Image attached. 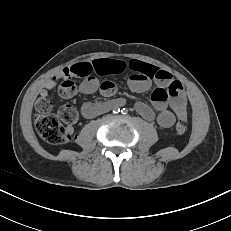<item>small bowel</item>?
<instances>
[{
  "mask_svg": "<svg viewBox=\"0 0 231 231\" xmlns=\"http://www.w3.org/2000/svg\"><path fill=\"white\" fill-rule=\"evenodd\" d=\"M130 70L128 86L135 92H145L152 85L154 88L151 93V105L138 102L136 110L147 120L156 121L162 128H170L174 125L177 118H187L186 93L182 84L174 79L172 75L154 65L131 60L126 63L115 59H96L77 63L69 68L59 71L56 75L48 79L39 91L36 101V109L39 104L47 100L49 91L58 83L59 79L76 75L83 77L79 90L83 94H92L99 90L104 96H112L116 92V85L111 81L100 82L99 76L119 74ZM113 103V105H109ZM86 102L81 107V114L85 118H93L106 111L114 105H120L121 100L112 102ZM71 132L72 128L68 127Z\"/></svg>",
  "mask_w": 231,
  "mask_h": 231,
  "instance_id": "1",
  "label": "small bowel"
}]
</instances>
